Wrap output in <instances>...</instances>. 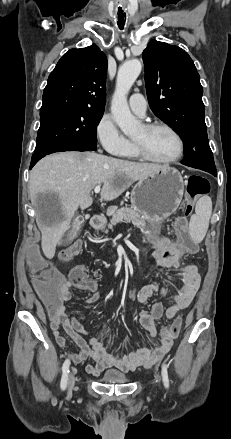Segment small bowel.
I'll use <instances>...</instances> for the list:
<instances>
[{
	"instance_id": "1",
	"label": "small bowel",
	"mask_w": 231,
	"mask_h": 439,
	"mask_svg": "<svg viewBox=\"0 0 231 439\" xmlns=\"http://www.w3.org/2000/svg\"><path fill=\"white\" fill-rule=\"evenodd\" d=\"M179 250H182L180 244L173 242L170 237H163L157 242L154 251L157 266L161 267L162 270L166 265L170 268H178L180 263L174 264L172 259ZM179 277L182 286L174 294L168 293L170 289L168 283H140L138 289L135 290V297L140 304L146 303L149 298L167 297L169 300V306L166 309L161 303H154L149 311L141 310L139 313L140 324L149 333L151 341L157 337L155 321L163 314L168 319L174 318L179 311L190 305L199 289L200 275L195 265L182 266ZM74 287L77 286L71 279L68 281L62 279L58 289V301L60 302L57 311L58 317L55 320L50 319L51 330L60 347L64 348L67 342L62 331L76 344L77 352L69 353L75 363H81L88 358L94 361L93 364L86 366V371L89 374L98 376L102 371L111 367L124 372L134 371L138 367L148 368L170 351L173 341L162 337L157 345L151 347H140L129 352H110L103 343L106 325H102L98 332L92 334L93 332L87 330L76 317L67 315L65 302L71 299V289ZM99 298L100 292L95 290L83 302L93 304ZM82 334H92V336L86 341L81 336Z\"/></svg>"
}]
</instances>
